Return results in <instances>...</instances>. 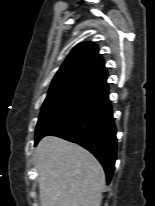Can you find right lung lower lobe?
Masks as SVG:
<instances>
[{"label": "right lung lower lobe", "mask_w": 155, "mask_h": 206, "mask_svg": "<svg viewBox=\"0 0 155 206\" xmlns=\"http://www.w3.org/2000/svg\"><path fill=\"white\" fill-rule=\"evenodd\" d=\"M48 135L61 137L89 150L102 164L107 182H110L115 169L117 138L108 95L92 109L45 136Z\"/></svg>", "instance_id": "obj_1"}]
</instances>
